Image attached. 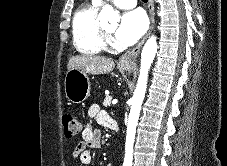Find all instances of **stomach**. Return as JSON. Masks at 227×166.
Segmentation results:
<instances>
[{
	"mask_svg": "<svg viewBox=\"0 0 227 166\" xmlns=\"http://www.w3.org/2000/svg\"><path fill=\"white\" fill-rule=\"evenodd\" d=\"M122 70L130 71L132 65L121 66ZM65 94L68 101L80 104L90 95V80L87 73L78 69L67 71L64 81Z\"/></svg>",
	"mask_w": 227,
	"mask_h": 166,
	"instance_id": "obj_1",
	"label": "stomach"
}]
</instances>
